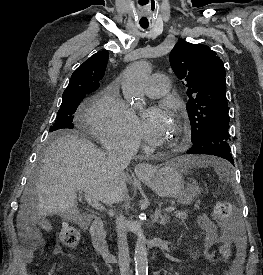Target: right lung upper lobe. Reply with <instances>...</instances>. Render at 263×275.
<instances>
[{
	"label": "right lung upper lobe",
	"mask_w": 263,
	"mask_h": 275,
	"mask_svg": "<svg viewBox=\"0 0 263 275\" xmlns=\"http://www.w3.org/2000/svg\"><path fill=\"white\" fill-rule=\"evenodd\" d=\"M109 52L100 51L86 60L71 76L64 94L77 91L91 93L99 86L107 66Z\"/></svg>",
	"instance_id": "right-lung-upper-lobe-1"
}]
</instances>
